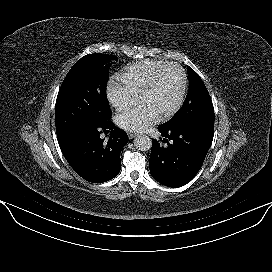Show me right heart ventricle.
Returning a JSON list of instances; mask_svg holds the SVG:
<instances>
[{
	"label": "right heart ventricle",
	"instance_id": "obj_1",
	"mask_svg": "<svg viewBox=\"0 0 272 272\" xmlns=\"http://www.w3.org/2000/svg\"><path fill=\"white\" fill-rule=\"evenodd\" d=\"M167 62L143 59L126 66L120 75V80L137 95L150 81L153 75Z\"/></svg>",
	"mask_w": 272,
	"mask_h": 272
}]
</instances>
